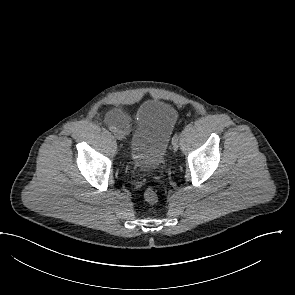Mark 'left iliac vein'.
<instances>
[{"mask_svg": "<svg viewBox=\"0 0 295 295\" xmlns=\"http://www.w3.org/2000/svg\"><path fill=\"white\" fill-rule=\"evenodd\" d=\"M172 149H173V151H177L178 150V141L172 142Z\"/></svg>", "mask_w": 295, "mask_h": 295, "instance_id": "left-iliac-vein-1", "label": "left iliac vein"}]
</instances>
